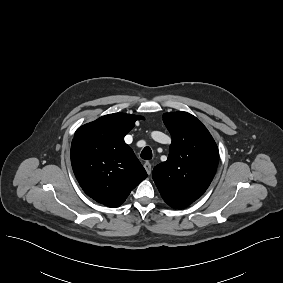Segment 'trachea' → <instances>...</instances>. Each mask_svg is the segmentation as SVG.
<instances>
[{
    "label": "trachea",
    "mask_w": 283,
    "mask_h": 283,
    "mask_svg": "<svg viewBox=\"0 0 283 283\" xmlns=\"http://www.w3.org/2000/svg\"><path fill=\"white\" fill-rule=\"evenodd\" d=\"M152 156V150L148 146H146L141 152V158L144 160H150L152 159Z\"/></svg>",
    "instance_id": "trachea-1"
}]
</instances>
